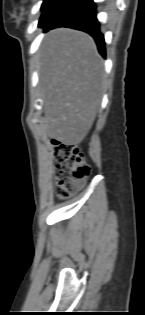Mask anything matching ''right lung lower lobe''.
Wrapping results in <instances>:
<instances>
[{
    "label": "right lung lower lobe",
    "mask_w": 145,
    "mask_h": 315,
    "mask_svg": "<svg viewBox=\"0 0 145 315\" xmlns=\"http://www.w3.org/2000/svg\"><path fill=\"white\" fill-rule=\"evenodd\" d=\"M57 27H70L89 33L97 43L99 53L105 57L104 36L99 30L93 0H67L43 26L44 31Z\"/></svg>",
    "instance_id": "obj_1"
}]
</instances>
